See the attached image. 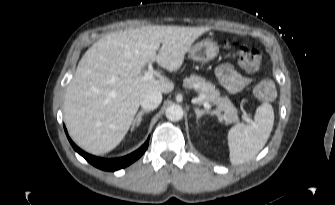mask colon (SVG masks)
<instances>
[{
	"mask_svg": "<svg viewBox=\"0 0 335 205\" xmlns=\"http://www.w3.org/2000/svg\"><path fill=\"white\" fill-rule=\"evenodd\" d=\"M235 47V44H228ZM237 54L241 67L249 72H256L261 64V54L258 49L252 46L237 47ZM255 97L260 101H271L275 98L276 89L272 81L262 80L253 89Z\"/></svg>",
	"mask_w": 335,
	"mask_h": 205,
	"instance_id": "1",
	"label": "colon"
}]
</instances>
